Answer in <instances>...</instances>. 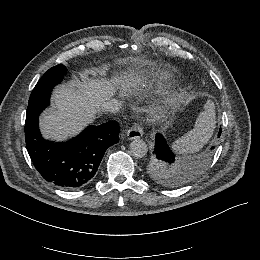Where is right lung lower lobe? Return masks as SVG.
<instances>
[{"mask_svg":"<svg viewBox=\"0 0 260 260\" xmlns=\"http://www.w3.org/2000/svg\"><path fill=\"white\" fill-rule=\"evenodd\" d=\"M118 134L119 124L109 121L90 125L67 142L54 143L42 138L38 118L25 123L26 147L35 168L47 182L65 190L93 182L105 151L119 141Z\"/></svg>","mask_w":260,"mask_h":260,"instance_id":"obj_1","label":"right lung lower lobe"}]
</instances>
